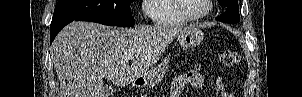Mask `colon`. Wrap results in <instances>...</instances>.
<instances>
[{"label": "colon", "instance_id": "obj_1", "mask_svg": "<svg viewBox=\"0 0 302 97\" xmlns=\"http://www.w3.org/2000/svg\"><path fill=\"white\" fill-rule=\"evenodd\" d=\"M219 59L222 65L230 67L239 63L240 55L236 51L227 50L220 54Z\"/></svg>", "mask_w": 302, "mask_h": 97}]
</instances>
